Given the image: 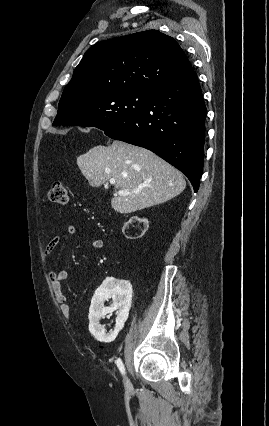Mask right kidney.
Returning a JSON list of instances; mask_svg holds the SVG:
<instances>
[{"mask_svg": "<svg viewBox=\"0 0 269 426\" xmlns=\"http://www.w3.org/2000/svg\"><path fill=\"white\" fill-rule=\"evenodd\" d=\"M133 221L143 222L140 225L141 229L138 237L125 235V230ZM149 223L146 217L131 216L130 220L123 224L122 232L127 239L142 238L145 231L149 228ZM111 297L113 299L112 306L104 307V301ZM131 298L132 286L125 280L107 278L96 290L89 310V331L98 341L109 342L116 337L118 331L123 327L128 317ZM114 309L119 310L116 319V327L113 333L106 334V330L104 326L100 324L99 320Z\"/></svg>", "mask_w": 269, "mask_h": 426, "instance_id": "1", "label": "right kidney"}]
</instances>
